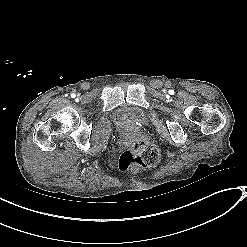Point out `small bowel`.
<instances>
[{"label": "small bowel", "instance_id": "obj_1", "mask_svg": "<svg viewBox=\"0 0 247 247\" xmlns=\"http://www.w3.org/2000/svg\"><path fill=\"white\" fill-rule=\"evenodd\" d=\"M113 161H116V158H113ZM112 169H115V166H112Z\"/></svg>", "mask_w": 247, "mask_h": 247}]
</instances>
